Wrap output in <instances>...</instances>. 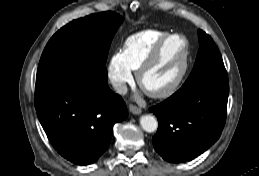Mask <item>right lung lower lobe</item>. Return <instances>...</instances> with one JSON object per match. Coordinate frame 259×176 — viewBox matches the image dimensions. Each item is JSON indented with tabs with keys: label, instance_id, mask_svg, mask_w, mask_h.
I'll return each mask as SVG.
<instances>
[{
	"label": "right lung lower lobe",
	"instance_id": "right-lung-lower-lobe-1",
	"mask_svg": "<svg viewBox=\"0 0 259 176\" xmlns=\"http://www.w3.org/2000/svg\"><path fill=\"white\" fill-rule=\"evenodd\" d=\"M107 79L105 63L81 57L38 67V119L56 151L77 165L94 163L107 150L113 125L128 116Z\"/></svg>",
	"mask_w": 259,
	"mask_h": 176
}]
</instances>
